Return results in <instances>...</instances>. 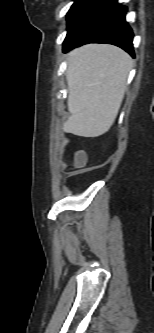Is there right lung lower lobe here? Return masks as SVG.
<instances>
[{"label":"right lung lower lobe","instance_id":"obj_1","mask_svg":"<svg viewBox=\"0 0 154 333\" xmlns=\"http://www.w3.org/2000/svg\"><path fill=\"white\" fill-rule=\"evenodd\" d=\"M127 9L117 0H102L89 18L64 41V52L87 43H108L134 57L133 32L125 21Z\"/></svg>","mask_w":154,"mask_h":333}]
</instances>
